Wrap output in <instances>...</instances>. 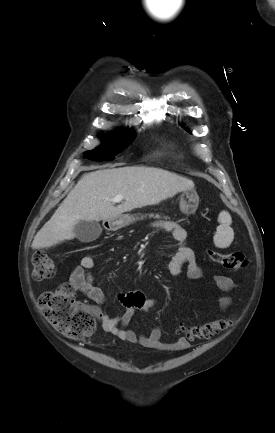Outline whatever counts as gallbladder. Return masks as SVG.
Wrapping results in <instances>:
<instances>
[{"mask_svg": "<svg viewBox=\"0 0 275 433\" xmlns=\"http://www.w3.org/2000/svg\"><path fill=\"white\" fill-rule=\"evenodd\" d=\"M101 232L102 228L97 221H80L74 227L75 237L83 243L95 241Z\"/></svg>", "mask_w": 275, "mask_h": 433, "instance_id": "1", "label": "gallbladder"}]
</instances>
